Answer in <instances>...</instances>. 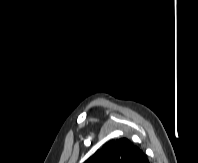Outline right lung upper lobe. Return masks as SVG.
Returning a JSON list of instances; mask_svg holds the SVG:
<instances>
[{"instance_id": "obj_1", "label": "right lung upper lobe", "mask_w": 198, "mask_h": 163, "mask_svg": "<svg viewBox=\"0 0 198 163\" xmlns=\"http://www.w3.org/2000/svg\"><path fill=\"white\" fill-rule=\"evenodd\" d=\"M84 163H149L141 149L127 138L109 140Z\"/></svg>"}]
</instances>
